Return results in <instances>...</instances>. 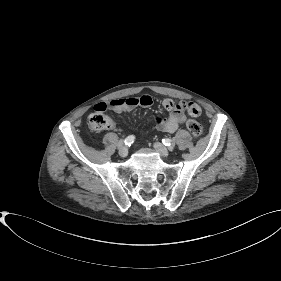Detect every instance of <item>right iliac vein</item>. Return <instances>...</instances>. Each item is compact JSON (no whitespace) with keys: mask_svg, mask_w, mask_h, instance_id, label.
<instances>
[{"mask_svg":"<svg viewBox=\"0 0 281 281\" xmlns=\"http://www.w3.org/2000/svg\"><path fill=\"white\" fill-rule=\"evenodd\" d=\"M119 155L121 157H126L128 155V148L126 146H121L119 148Z\"/></svg>","mask_w":281,"mask_h":281,"instance_id":"63e3f726","label":"right iliac vein"}]
</instances>
